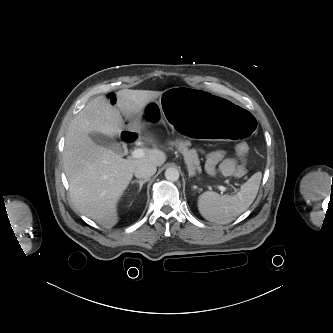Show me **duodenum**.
<instances>
[{"label":"duodenum","instance_id":"duodenum-1","mask_svg":"<svg viewBox=\"0 0 333 333\" xmlns=\"http://www.w3.org/2000/svg\"><path fill=\"white\" fill-rule=\"evenodd\" d=\"M122 137L124 140L126 141H132L134 139V136L132 133H129V132H125L122 134Z\"/></svg>","mask_w":333,"mask_h":333}]
</instances>
